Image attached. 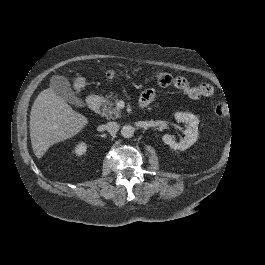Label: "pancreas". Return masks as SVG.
<instances>
[{"instance_id":"obj_1","label":"pancreas","mask_w":265,"mask_h":265,"mask_svg":"<svg viewBox=\"0 0 265 265\" xmlns=\"http://www.w3.org/2000/svg\"><path fill=\"white\" fill-rule=\"evenodd\" d=\"M118 102V95L111 92L106 95L102 101L101 115L107 117L108 119H116L121 115V110L116 108V103Z\"/></svg>"}]
</instances>
